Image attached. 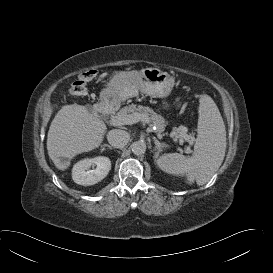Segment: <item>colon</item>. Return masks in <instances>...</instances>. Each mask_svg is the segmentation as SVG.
Listing matches in <instances>:
<instances>
[{"instance_id": "obj_1", "label": "colon", "mask_w": 273, "mask_h": 273, "mask_svg": "<svg viewBox=\"0 0 273 273\" xmlns=\"http://www.w3.org/2000/svg\"><path fill=\"white\" fill-rule=\"evenodd\" d=\"M95 77L93 71L89 70L81 74V76L72 83L70 92L76 96L85 95L87 92V83Z\"/></svg>"}]
</instances>
